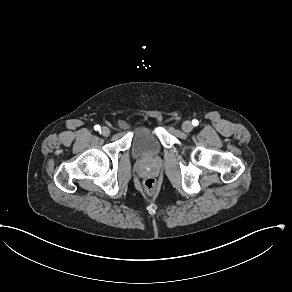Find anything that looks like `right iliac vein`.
Instances as JSON below:
<instances>
[{
	"label": "right iliac vein",
	"mask_w": 292,
	"mask_h": 292,
	"mask_svg": "<svg viewBox=\"0 0 292 292\" xmlns=\"http://www.w3.org/2000/svg\"><path fill=\"white\" fill-rule=\"evenodd\" d=\"M100 133L103 136L107 137V136L110 135V129L108 127L104 126V127L101 128Z\"/></svg>",
	"instance_id": "63e3f726"
}]
</instances>
